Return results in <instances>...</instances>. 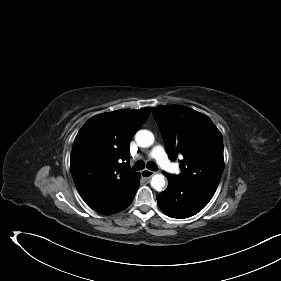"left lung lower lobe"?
<instances>
[{"label":"left lung lower lobe","mask_w":281,"mask_h":281,"mask_svg":"<svg viewBox=\"0 0 281 281\" xmlns=\"http://www.w3.org/2000/svg\"><path fill=\"white\" fill-rule=\"evenodd\" d=\"M168 179V187L157 195L161 210L172 218H188L201 211L211 200L212 192L196 183Z\"/></svg>","instance_id":"obj_1"}]
</instances>
